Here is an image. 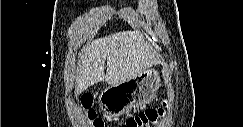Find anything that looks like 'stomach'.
I'll list each match as a JSON object with an SVG mask.
<instances>
[{"mask_svg": "<svg viewBox=\"0 0 243 127\" xmlns=\"http://www.w3.org/2000/svg\"><path fill=\"white\" fill-rule=\"evenodd\" d=\"M160 85L159 72L151 66L135 78L106 87L99 95V106L110 117L121 116L134 107L149 103Z\"/></svg>", "mask_w": 243, "mask_h": 127, "instance_id": "stomach-1", "label": "stomach"}]
</instances>
